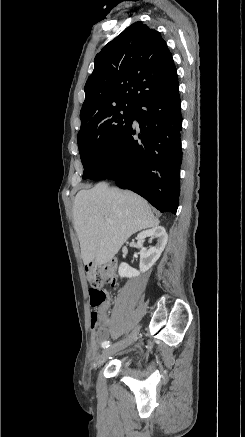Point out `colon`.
I'll return each mask as SVG.
<instances>
[{
	"instance_id": "1",
	"label": "colon",
	"mask_w": 245,
	"mask_h": 437,
	"mask_svg": "<svg viewBox=\"0 0 245 437\" xmlns=\"http://www.w3.org/2000/svg\"><path fill=\"white\" fill-rule=\"evenodd\" d=\"M116 265L115 261H111L99 267L89 268L88 270V280L91 285L89 289L90 304L94 308L91 313V319L96 326L103 316L102 309L107 299L104 287L108 285L114 286L116 283ZM104 334V327H95V337L100 338Z\"/></svg>"
}]
</instances>
